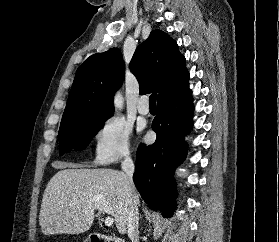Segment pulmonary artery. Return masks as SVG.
<instances>
[{
  "label": "pulmonary artery",
  "instance_id": "e3ab8cb5",
  "mask_svg": "<svg viewBox=\"0 0 279 242\" xmlns=\"http://www.w3.org/2000/svg\"><path fill=\"white\" fill-rule=\"evenodd\" d=\"M137 110L142 115H147L150 111L148 104H146V97H141L138 100Z\"/></svg>",
  "mask_w": 279,
  "mask_h": 242
}]
</instances>
